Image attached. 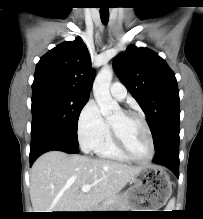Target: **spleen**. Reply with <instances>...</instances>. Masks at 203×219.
Segmentation results:
<instances>
[{
	"instance_id": "1",
	"label": "spleen",
	"mask_w": 203,
	"mask_h": 219,
	"mask_svg": "<svg viewBox=\"0 0 203 219\" xmlns=\"http://www.w3.org/2000/svg\"><path fill=\"white\" fill-rule=\"evenodd\" d=\"M174 205H175V200H174V199H171L170 202L168 203V208H169V209H173V208H174Z\"/></svg>"
}]
</instances>
